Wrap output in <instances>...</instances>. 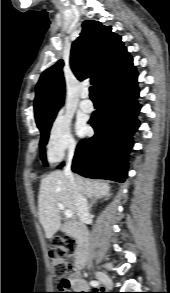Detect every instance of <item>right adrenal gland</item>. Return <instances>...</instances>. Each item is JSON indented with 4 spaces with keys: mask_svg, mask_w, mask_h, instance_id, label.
Masks as SVG:
<instances>
[{
    "mask_svg": "<svg viewBox=\"0 0 170 293\" xmlns=\"http://www.w3.org/2000/svg\"><path fill=\"white\" fill-rule=\"evenodd\" d=\"M108 197H109V194L106 195L105 200H106ZM98 199H99V198H93V199H91V203H90V205H89V210L92 209L93 205L97 202Z\"/></svg>",
    "mask_w": 170,
    "mask_h": 293,
    "instance_id": "obj_1",
    "label": "right adrenal gland"
}]
</instances>
